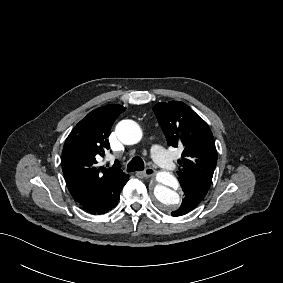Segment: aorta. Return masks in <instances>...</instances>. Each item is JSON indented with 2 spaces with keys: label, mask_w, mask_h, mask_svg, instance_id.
Wrapping results in <instances>:
<instances>
[{
  "label": "aorta",
  "mask_w": 283,
  "mask_h": 283,
  "mask_svg": "<svg viewBox=\"0 0 283 283\" xmlns=\"http://www.w3.org/2000/svg\"><path fill=\"white\" fill-rule=\"evenodd\" d=\"M118 139L126 145L138 143L142 138L140 126L133 120H122L116 126ZM158 184L154 188V196L163 210L175 209L180 203V196L176 191L177 179L169 172H158L156 175Z\"/></svg>",
  "instance_id": "obj_1"
}]
</instances>
